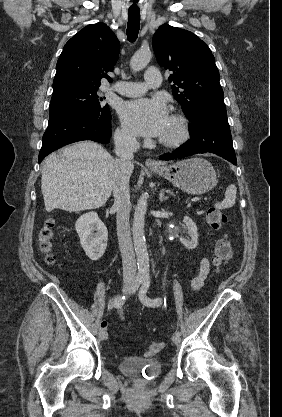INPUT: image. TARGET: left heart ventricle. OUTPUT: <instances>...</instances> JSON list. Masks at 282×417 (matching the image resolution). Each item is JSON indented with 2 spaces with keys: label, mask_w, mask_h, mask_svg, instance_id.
<instances>
[{
  "label": "left heart ventricle",
  "mask_w": 282,
  "mask_h": 417,
  "mask_svg": "<svg viewBox=\"0 0 282 417\" xmlns=\"http://www.w3.org/2000/svg\"><path fill=\"white\" fill-rule=\"evenodd\" d=\"M175 125L172 123V121L169 119L167 126L164 130V132L161 134L163 137H172L175 134Z\"/></svg>",
  "instance_id": "1"
}]
</instances>
